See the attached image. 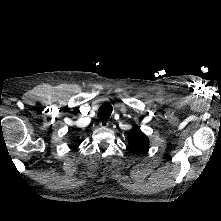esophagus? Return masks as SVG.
Instances as JSON below:
<instances>
[{
  "mask_svg": "<svg viewBox=\"0 0 221 221\" xmlns=\"http://www.w3.org/2000/svg\"><path fill=\"white\" fill-rule=\"evenodd\" d=\"M100 126L104 127V128L108 127L109 126V121H106V120L100 121Z\"/></svg>",
  "mask_w": 221,
  "mask_h": 221,
  "instance_id": "obj_1",
  "label": "esophagus"
}]
</instances>
